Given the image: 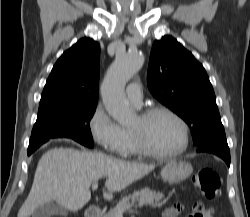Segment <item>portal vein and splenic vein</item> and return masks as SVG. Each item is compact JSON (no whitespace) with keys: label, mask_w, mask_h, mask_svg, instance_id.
<instances>
[{"label":"portal vein and splenic vein","mask_w":250,"mask_h":217,"mask_svg":"<svg viewBox=\"0 0 250 217\" xmlns=\"http://www.w3.org/2000/svg\"><path fill=\"white\" fill-rule=\"evenodd\" d=\"M97 187H98V183H97V182H94V183L92 184V189L95 190ZM132 207H133V205H129V206L127 207V209L130 210ZM117 217H122V212H121V211H119V212L117 213Z\"/></svg>","instance_id":"1"}]
</instances>
